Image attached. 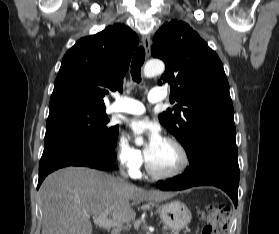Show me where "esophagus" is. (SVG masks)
Wrapping results in <instances>:
<instances>
[{
  "label": "esophagus",
  "mask_w": 279,
  "mask_h": 234,
  "mask_svg": "<svg viewBox=\"0 0 279 234\" xmlns=\"http://www.w3.org/2000/svg\"><path fill=\"white\" fill-rule=\"evenodd\" d=\"M142 44L145 48L146 54L149 55L151 48V39L149 34H144L142 36Z\"/></svg>",
  "instance_id": "34e87169"
}]
</instances>
